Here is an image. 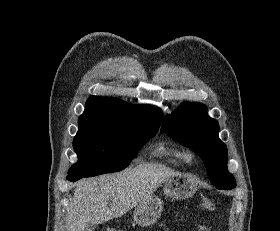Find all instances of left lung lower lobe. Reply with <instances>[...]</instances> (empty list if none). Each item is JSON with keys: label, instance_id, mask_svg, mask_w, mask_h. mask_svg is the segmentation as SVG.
Masks as SVG:
<instances>
[{"label": "left lung lower lobe", "instance_id": "1", "mask_svg": "<svg viewBox=\"0 0 280 231\" xmlns=\"http://www.w3.org/2000/svg\"><path fill=\"white\" fill-rule=\"evenodd\" d=\"M236 186H234V187H229V186H227V187H223L222 189H228V190H230V189H233V188H235Z\"/></svg>", "mask_w": 280, "mask_h": 231}]
</instances>
